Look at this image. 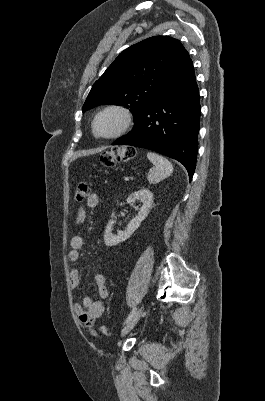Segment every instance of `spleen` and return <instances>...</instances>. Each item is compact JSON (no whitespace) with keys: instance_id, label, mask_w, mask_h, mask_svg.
Masks as SVG:
<instances>
[{"instance_id":"3e777b00","label":"spleen","mask_w":265,"mask_h":401,"mask_svg":"<svg viewBox=\"0 0 265 401\" xmlns=\"http://www.w3.org/2000/svg\"><path fill=\"white\" fill-rule=\"evenodd\" d=\"M147 158L154 164L147 176L150 184H157V182L164 180V178H167L173 172V164H171L170 160L164 158V156H160L156 152H147Z\"/></svg>"}]
</instances>
